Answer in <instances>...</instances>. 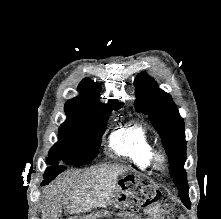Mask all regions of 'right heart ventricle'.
Masks as SVG:
<instances>
[{"label":"right heart ventricle","mask_w":221,"mask_h":219,"mask_svg":"<svg viewBox=\"0 0 221 219\" xmlns=\"http://www.w3.org/2000/svg\"><path fill=\"white\" fill-rule=\"evenodd\" d=\"M110 147L119 156L127 158L141 170L151 168L154 143L143 123L129 124L110 137Z\"/></svg>","instance_id":"right-heart-ventricle-1"}]
</instances>
